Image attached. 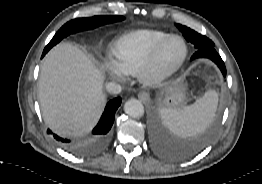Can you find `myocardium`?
Returning a JSON list of instances; mask_svg holds the SVG:
<instances>
[{"label": "myocardium", "mask_w": 262, "mask_h": 184, "mask_svg": "<svg viewBox=\"0 0 262 184\" xmlns=\"http://www.w3.org/2000/svg\"><path fill=\"white\" fill-rule=\"evenodd\" d=\"M172 40H179L183 45V53L181 57L169 66H162L160 58ZM188 56V46L186 41L179 35L167 36L155 49L150 53L145 62L137 71L139 79L147 85H158L165 82L173 76L184 64Z\"/></svg>", "instance_id": "obj_1"}]
</instances>
